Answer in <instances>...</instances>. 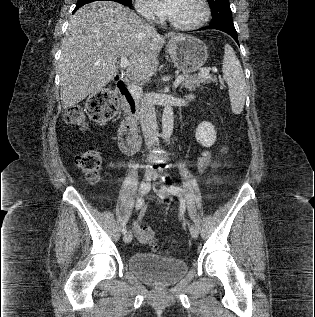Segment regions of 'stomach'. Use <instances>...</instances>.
<instances>
[{
  "label": "stomach",
  "instance_id": "obj_1",
  "mask_svg": "<svg viewBox=\"0 0 315 317\" xmlns=\"http://www.w3.org/2000/svg\"><path fill=\"white\" fill-rule=\"evenodd\" d=\"M167 50L174 66L184 73L197 71L208 58L206 45L200 39L188 35L172 37L167 43Z\"/></svg>",
  "mask_w": 315,
  "mask_h": 317
}]
</instances>
